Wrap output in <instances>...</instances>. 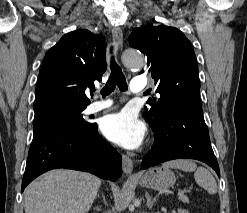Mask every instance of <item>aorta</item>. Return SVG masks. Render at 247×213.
<instances>
[{"label": "aorta", "instance_id": "obj_1", "mask_svg": "<svg viewBox=\"0 0 247 213\" xmlns=\"http://www.w3.org/2000/svg\"><path fill=\"white\" fill-rule=\"evenodd\" d=\"M123 61L129 69H140L144 65V56L137 50L127 49L123 53Z\"/></svg>", "mask_w": 247, "mask_h": 213}]
</instances>
